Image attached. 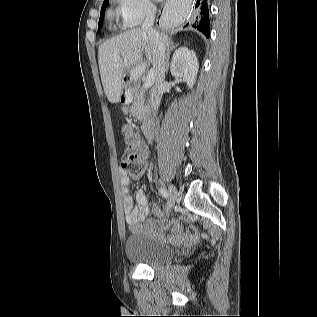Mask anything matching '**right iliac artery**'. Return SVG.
Listing matches in <instances>:
<instances>
[{
    "instance_id": "1",
    "label": "right iliac artery",
    "mask_w": 317,
    "mask_h": 317,
    "mask_svg": "<svg viewBox=\"0 0 317 317\" xmlns=\"http://www.w3.org/2000/svg\"><path fill=\"white\" fill-rule=\"evenodd\" d=\"M159 191H160V194L162 195L163 198H165V199L169 198V193L167 192V190L165 188H161Z\"/></svg>"
}]
</instances>
